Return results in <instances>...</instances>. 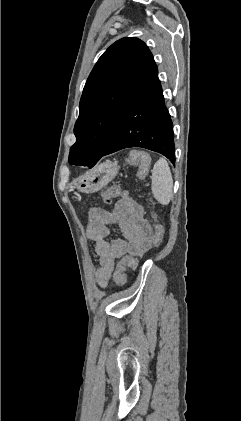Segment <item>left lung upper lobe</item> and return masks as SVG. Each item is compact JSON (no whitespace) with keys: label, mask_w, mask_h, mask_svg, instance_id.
<instances>
[{"label":"left lung upper lobe","mask_w":241,"mask_h":421,"mask_svg":"<svg viewBox=\"0 0 241 421\" xmlns=\"http://www.w3.org/2000/svg\"><path fill=\"white\" fill-rule=\"evenodd\" d=\"M151 57L144 42L126 37L99 58L80 100L74 127L77 140L69 153L71 165L92 163L102 157Z\"/></svg>","instance_id":"5c2ea615"}]
</instances>
